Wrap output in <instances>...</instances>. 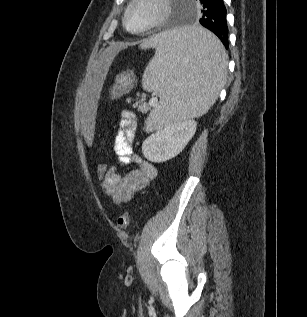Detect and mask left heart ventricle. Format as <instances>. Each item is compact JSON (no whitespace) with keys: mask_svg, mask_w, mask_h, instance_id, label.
I'll use <instances>...</instances> for the list:
<instances>
[{"mask_svg":"<svg viewBox=\"0 0 307 317\" xmlns=\"http://www.w3.org/2000/svg\"><path fill=\"white\" fill-rule=\"evenodd\" d=\"M158 7L149 0L137 3L129 13L127 23L131 29H139L149 23L157 14Z\"/></svg>","mask_w":307,"mask_h":317,"instance_id":"obj_1","label":"left heart ventricle"}]
</instances>
